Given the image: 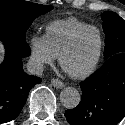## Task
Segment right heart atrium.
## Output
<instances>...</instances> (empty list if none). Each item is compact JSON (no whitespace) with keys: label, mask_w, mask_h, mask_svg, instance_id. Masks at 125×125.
Here are the masks:
<instances>
[{"label":"right heart atrium","mask_w":125,"mask_h":125,"mask_svg":"<svg viewBox=\"0 0 125 125\" xmlns=\"http://www.w3.org/2000/svg\"><path fill=\"white\" fill-rule=\"evenodd\" d=\"M30 61L32 65L41 70L44 66L52 64L56 56L48 47L44 36L34 34L30 36L29 41Z\"/></svg>","instance_id":"right-heart-atrium-1"}]
</instances>
